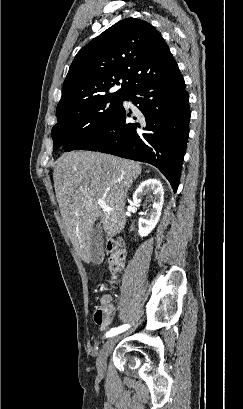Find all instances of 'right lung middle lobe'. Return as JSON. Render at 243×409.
I'll use <instances>...</instances> for the list:
<instances>
[{
    "instance_id": "1",
    "label": "right lung middle lobe",
    "mask_w": 243,
    "mask_h": 409,
    "mask_svg": "<svg viewBox=\"0 0 243 409\" xmlns=\"http://www.w3.org/2000/svg\"><path fill=\"white\" fill-rule=\"evenodd\" d=\"M125 96L103 95L57 109L53 149L74 150L86 137L102 131L122 108Z\"/></svg>"
}]
</instances>
